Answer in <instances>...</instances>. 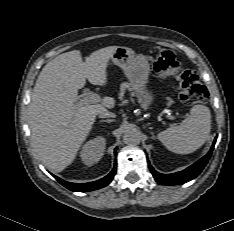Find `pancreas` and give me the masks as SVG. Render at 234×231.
<instances>
[{
	"mask_svg": "<svg viewBox=\"0 0 234 231\" xmlns=\"http://www.w3.org/2000/svg\"><path fill=\"white\" fill-rule=\"evenodd\" d=\"M127 89L130 90V85L127 82H124L120 85V92L124 93Z\"/></svg>",
	"mask_w": 234,
	"mask_h": 231,
	"instance_id": "cf45deb5",
	"label": "pancreas"
}]
</instances>
